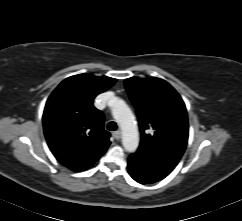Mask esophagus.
I'll return each instance as SVG.
<instances>
[{
    "label": "esophagus",
    "mask_w": 242,
    "mask_h": 221,
    "mask_svg": "<svg viewBox=\"0 0 242 221\" xmlns=\"http://www.w3.org/2000/svg\"><path fill=\"white\" fill-rule=\"evenodd\" d=\"M113 137L116 139V140H119L121 138V132L120 131H115L113 132Z\"/></svg>",
    "instance_id": "34e87169"
}]
</instances>
